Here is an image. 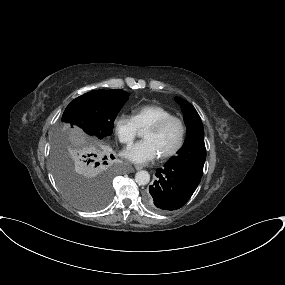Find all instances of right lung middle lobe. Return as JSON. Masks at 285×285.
<instances>
[{
  "label": "right lung middle lobe",
  "instance_id": "1",
  "mask_svg": "<svg viewBox=\"0 0 285 285\" xmlns=\"http://www.w3.org/2000/svg\"><path fill=\"white\" fill-rule=\"evenodd\" d=\"M128 95L120 89L85 93L70 102L63 113L62 121L75 124L99 139L110 136L114 119L128 100ZM101 152L100 149L99 152L74 154L63 132H59L54 140V177L65 197L80 209L98 210L110 200L111 164ZM93 166L101 168L97 173H92Z\"/></svg>",
  "mask_w": 285,
  "mask_h": 285
}]
</instances>
